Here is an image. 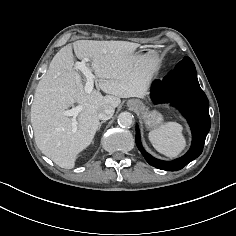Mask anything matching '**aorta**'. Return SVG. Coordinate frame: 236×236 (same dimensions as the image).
Returning <instances> with one entry per match:
<instances>
[{
	"instance_id": "obj_1",
	"label": "aorta",
	"mask_w": 236,
	"mask_h": 236,
	"mask_svg": "<svg viewBox=\"0 0 236 236\" xmlns=\"http://www.w3.org/2000/svg\"><path fill=\"white\" fill-rule=\"evenodd\" d=\"M133 122V115L130 112H122L118 116V124L121 127H130L132 126Z\"/></svg>"
}]
</instances>
